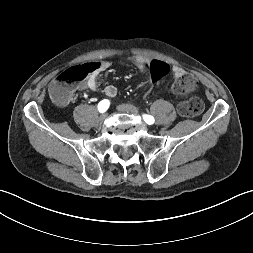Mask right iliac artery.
Segmentation results:
<instances>
[{
    "label": "right iliac artery",
    "mask_w": 253,
    "mask_h": 253,
    "mask_svg": "<svg viewBox=\"0 0 253 253\" xmlns=\"http://www.w3.org/2000/svg\"><path fill=\"white\" fill-rule=\"evenodd\" d=\"M110 102L107 99H104L99 102L98 104V110L99 112L103 113L109 108Z\"/></svg>",
    "instance_id": "right-iliac-artery-1"
}]
</instances>
